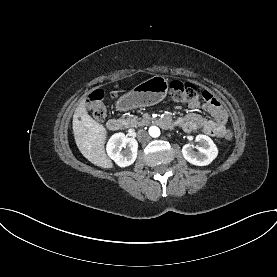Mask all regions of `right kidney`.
I'll return each instance as SVG.
<instances>
[{"mask_svg":"<svg viewBox=\"0 0 277 277\" xmlns=\"http://www.w3.org/2000/svg\"><path fill=\"white\" fill-rule=\"evenodd\" d=\"M137 151V140L126 137L123 133L114 134L107 143L108 156L120 167L133 164L137 158Z\"/></svg>","mask_w":277,"mask_h":277,"instance_id":"1","label":"right kidney"}]
</instances>
